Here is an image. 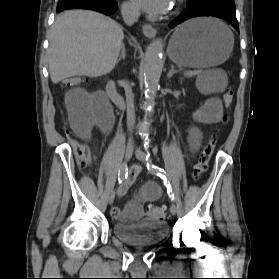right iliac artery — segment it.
I'll return each instance as SVG.
<instances>
[{
	"instance_id": "1",
	"label": "right iliac artery",
	"mask_w": 279,
	"mask_h": 279,
	"mask_svg": "<svg viewBox=\"0 0 279 279\" xmlns=\"http://www.w3.org/2000/svg\"><path fill=\"white\" fill-rule=\"evenodd\" d=\"M127 178V165L123 164L121 167V171L118 174V182L122 183L123 180H125ZM126 192V189H124L122 191V193L124 194Z\"/></svg>"
}]
</instances>
